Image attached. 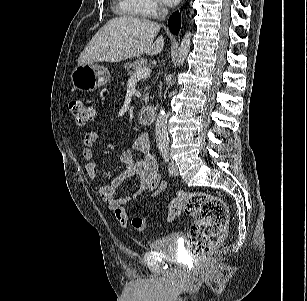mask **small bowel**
<instances>
[{
	"label": "small bowel",
	"instance_id": "1",
	"mask_svg": "<svg viewBox=\"0 0 307 301\" xmlns=\"http://www.w3.org/2000/svg\"><path fill=\"white\" fill-rule=\"evenodd\" d=\"M100 131H89L83 139L82 158L87 162L85 171L90 181L97 186L103 201L114 212L122 228H127L129 217L126 206L133 203L141 195L148 192L151 198H156L167 188L159 176L157 163L151 151L148 135L142 133L137 136L133 143L132 150L122 152L120 156L123 171L114 177L110 182L103 184L95 163L94 146L101 136ZM134 152L140 155L135 158ZM131 177H137L135 188L124 198H116V190L123 182Z\"/></svg>",
	"mask_w": 307,
	"mask_h": 301
}]
</instances>
